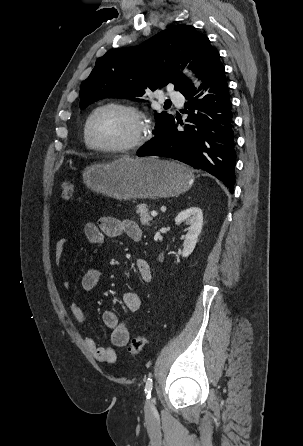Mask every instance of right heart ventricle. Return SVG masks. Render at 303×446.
Listing matches in <instances>:
<instances>
[{"label": "right heart ventricle", "mask_w": 303, "mask_h": 446, "mask_svg": "<svg viewBox=\"0 0 303 446\" xmlns=\"http://www.w3.org/2000/svg\"><path fill=\"white\" fill-rule=\"evenodd\" d=\"M84 140H85V138H84ZM85 145H86L87 147H89V146L87 145L86 141H85Z\"/></svg>", "instance_id": "e07e8e85"}]
</instances>
